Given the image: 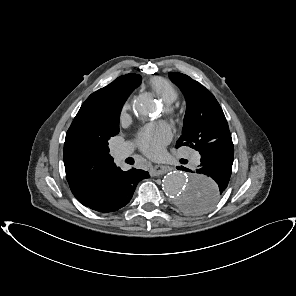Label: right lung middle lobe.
<instances>
[{"label":"right lung middle lobe","mask_w":296,"mask_h":296,"mask_svg":"<svg viewBox=\"0 0 296 296\" xmlns=\"http://www.w3.org/2000/svg\"><path fill=\"white\" fill-rule=\"evenodd\" d=\"M123 104V103H122ZM122 104L121 106L119 107L118 109V114H117V118L114 122V127H115V132H114V135L117 134L119 132V114H120V111H121V108H122Z\"/></svg>","instance_id":"dd1d6c3e"}]
</instances>
